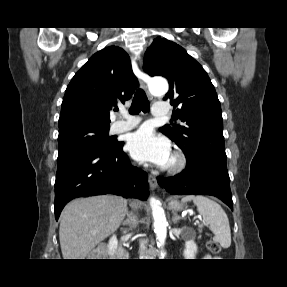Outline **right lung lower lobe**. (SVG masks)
<instances>
[{
	"label": "right lung lower lobe",
	"mask_w": 287,
	"mask_h": 287,
	"mask_svg": "<svg viewBox=\"0 0 287 287\" xmlns=\"http://www.w3.org/2000/svg\"><path fill=\"white\" fill-rule=\"evenodd\" d=\"M119 142L112 151L73 148L58 154L55 181V217L74 198L115 194L125 198L148 197V175L133 167Z\"/></svg>",
	"instance_id": "obj_1"
}]
</instances>
